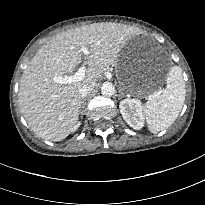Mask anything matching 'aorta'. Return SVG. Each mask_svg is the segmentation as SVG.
I'll list each match as a JSON object with an SVG mask.
<instances>
[{
  "label": "aorta",
  "mask_w": 205,
  "mask_h": 205,
  "mask_svg": "<svg viewBox=\"0 0 205 205\" xmlns=\"http://www.w3.org/2000/svg\"><path fill=\"white\" fill-rule=\"evenodd\" d=\"M101 93L104 96H112L115 93V87L110 82H104L101 87Z\"/></svg>",
  "instance_id": "1"
}]
</instances>
